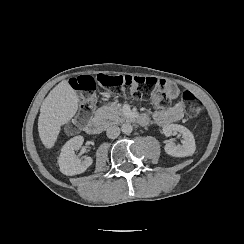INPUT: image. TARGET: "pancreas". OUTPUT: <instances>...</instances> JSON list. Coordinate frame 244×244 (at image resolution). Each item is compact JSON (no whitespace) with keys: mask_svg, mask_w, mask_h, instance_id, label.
Here are the masks:
<instances>
[{"mask_svg":"<svg viewBox=\"0 0 244 244\" xmlns=\"http://www.w3.org/2000/svg\"><path fill=\"white\" fill-rule=\"evenodd\" d=\"M95 119L113 121L115 124L124 122L127 117L122 111L121 103H110L101 106L94 114Z\"/></svg>","mask_w":244,"mask_h":244,"instance_id":"cf45deb5","label":"pancreas"}]
</instances>
